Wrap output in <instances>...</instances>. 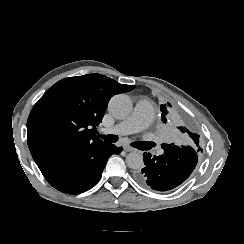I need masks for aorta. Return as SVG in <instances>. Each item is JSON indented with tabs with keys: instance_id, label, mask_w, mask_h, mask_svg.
I'll return each instance as SVG.
<instances>
[{
	"instance_id": "1",
	"label": "aorta",
	"mask_w": 244,
	"mask_h": 244,
	"mask_svg": "<svg viewBox=\"0 0 244 244\" xmlns=\"http://www.w3.org/2000/svg\"><path fill=\"white\" fill-rule=\"evenodd\" d=\"M132 109V101L125 94L115 95L109 101L108 110L115 118L127 117ZM126 164L131 169H141L144 166L143 156L138 152H131L126 156Z\"/></svg>"
}]
</instances>
